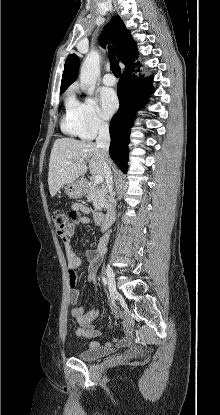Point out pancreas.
<instances>
[{
	"label": "pancreas",
	"instance_id": "obj_1",
	"mask_svg": "<svg viewBox=\"0 0 220 415\" xmlns=\"http://www.w3.org/2000/svg\"><path fill=\"white\" fill-rule=\"evenodd\" d=\"M87 199L92 202L96 210L107 207L108 192L106 187H98L95 183L89 182L86 185Z\"/></svg>",
	"mask_w": 220,
	"mask_h": 415
}]
</instances>
